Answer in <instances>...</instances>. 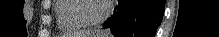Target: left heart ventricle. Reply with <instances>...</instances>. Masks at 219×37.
<instances>
[{
    "mask_svg": "<svg viewBox=\"0 0 219 37\" xmlns=\"http://www.w3.org/2000/svg\"><path fill=\"white\" fill-rule=\"evenodd\" d=\"M103 1H89L84 5V13L89 19L98 18L103 12Z\"/></svg>",
    "mask_w": 219,
    "mask_h": 37,
    "instance_id": "1",
    "label": "left heart ventricle"
}]
</instances>
